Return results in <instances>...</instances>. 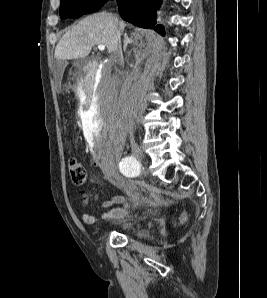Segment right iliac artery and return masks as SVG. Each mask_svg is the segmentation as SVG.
<instances>
[{"label":"right iliac artery","instance_id":"1","mask_svg":"<svg viewBox=\"0 0 267 298\" xmlns=\"http://www.w3.org/2000/svg\"><path fill=\"white\" fill-rule=\"evenodd\" d=\"M124 166L139 167V162L132 156H128L124 160Z\"/></svg>","mask_w":267,"mask_h":298}]
</instances>
